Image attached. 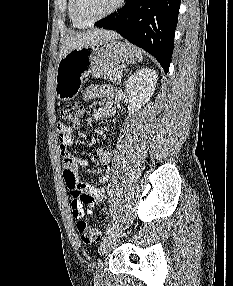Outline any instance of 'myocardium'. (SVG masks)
Returning <instances> with one entry per match:
<instances>
[{"label":"myocardium","mask_w":233,"mask_h":286,"mask_svg":"<svg viewBox=\"0 0 233 286\" xmlns=\"http://www.w3.org/2000/svg\"><path fill=\"white\" fill-rule=\"evenodd\" d=\"M124 2H125V0H117L116 3L114 4V6L111 9H109L107 12L103 13L102 15H100L94 19L87 20L81 14V10H80L81 0H74V12H75V16L77 17V19L80 22H82L86 26H89V25H93V24L109 17L113 13H115L118 9H120L123 6Z\"/></svg>","instance_id":"myocardium-1"}]
</instances>
